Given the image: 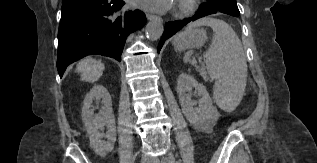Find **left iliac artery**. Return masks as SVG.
Returning <instances> with one entry per match:
<instances>
[{
	"label": "left iliac artery",
	"mask_w": 317,
	"mask_h": 163,
	"mask_svg": "<svg viewBox=\"0 0 317 163\" xmlns=\"http://www.w3.org/2000/svg\"><path fill=\"white\" fill-rule=\"evenodd\" d=\"M162 163H169V159L168 158H163Z\"/></svg>",
	"instance_id": "44dca946"
}]
</instances>
